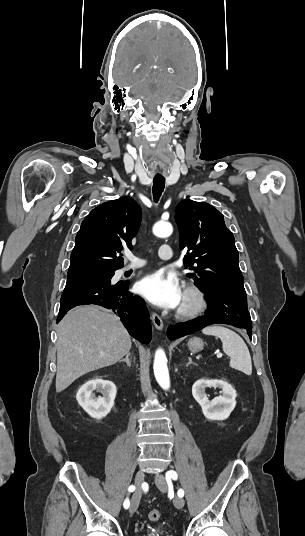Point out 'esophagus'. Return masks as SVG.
<instances>
[{
	"label": "esophagus",
	"instance_id": "obj_1",
	"mask_svg": "<svg viewBox=\"0 0 305 536\" xmlns=\"http://www.w3.org/2000/svg\"><path fill=\"white\" fill-rule=\"evenodd\" d=\"M152 320H153L155 327L161 331L164 325L160 316L157 313H152Z\"/></svg>",
	"mask_w": 305,
	"mask_h": 536
}]
</instances>
